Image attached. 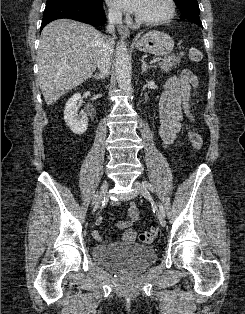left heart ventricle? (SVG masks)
<instances>
[{"mask_svg":"<svg viewBox=\"0 0 245 314\" xmlns=\"http://www.w3.org/2000/svg\"><path fill=\"white\" fill-rule=\"evenodd\" d=\"M167 11L165 0H146L138 16L143 19H154Z\"/></svg>","mask_w":245,"mask_h":314,"instance_id":"left-heart-ventricle-1","label":"left heart ventricle"}]
</instances>
